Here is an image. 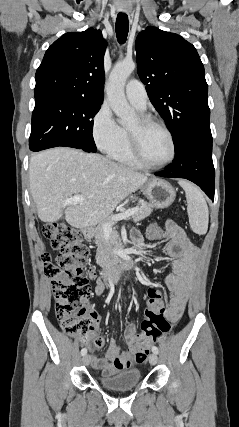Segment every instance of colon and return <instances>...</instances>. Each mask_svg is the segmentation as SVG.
<instances>
[{
	"label": "colon",
	"instance_id": "obj_1",
	"mask_svg": "<svg viewBox=\"0 0 239 427\" xmlns=\"http://www.w3.org/2000/svg\"><path fill=\"white\" fill-rule=\"evenodd\" d=\"M160 229V222H151L147 229L151 244L167 242L166 231ZM43 234L51 247L59 251L55 262L49 254L41 255L44 273L51 279L56 317L66 334L87 343L95 325L92 311L88 307L91 297L90 279L94 276V269L87 263L89 250L83 243L81 234L65 223L46 224ZM145 299V319L141 323V333L134 348L135 358L139 363L149 354L150 344L157 342L170 329L164 315V291L157 284H150L146 287Z\"/></svg>",
	"mask_w": 239,
	"mask_h": 427
}]
</instances>
